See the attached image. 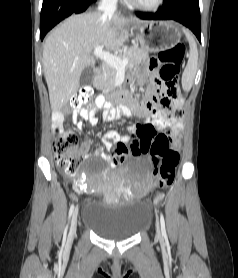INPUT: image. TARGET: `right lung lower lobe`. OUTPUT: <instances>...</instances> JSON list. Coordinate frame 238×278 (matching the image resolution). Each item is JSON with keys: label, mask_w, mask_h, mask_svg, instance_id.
Wrapping results in <instances>:
<instances>
[{"label": "right lung lower lobe", "mask_w": 238, "mask_h": 278, "mask_svg": "<svg viewBox=\"0 0 238 278\" xmlns=\"http://www.w3.org/2000/svg\"><path fill=\"white\" fill-rule=\"evenodd\" d=\"M96 2L97 0H43L40 17L41 40L61 20L71 14L84 12Z\"/></svg>", "instance_id": "right-lung-lower-lobe-1"}]
</instances>
